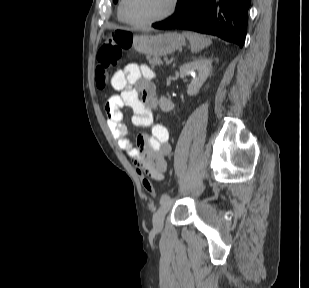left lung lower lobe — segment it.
<instances>
[{"instance_id": "1", "label": "left lung lower lobe", "mask_w": 309, "mask_h": 288, "mask_svg": "<svg viewBox=\"0 0 309 288\" xmlns=\"http://www.w3.org/2000/svg\"><path fill=\"white\" fill-rule=\"evenodd\" d=\"M250 3L251 0H178L175 14L152 26L156 29L194 30L242 47Z\"/></svg>"}]
</instances>
